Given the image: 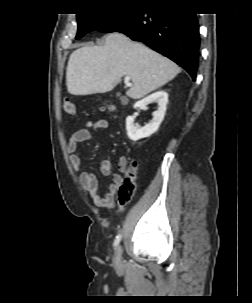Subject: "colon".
I'll use <instances>...</instances> for the list:
<instances>
[{
	"label": "colon",
	"mask_w": 252,
	"mask_h": 303,
	"mask_svg": "<svg viewBox=\"0 0 252 303\" xmlns=\"http://www.w3.org/2000/svg\"><path fill=\"white\" fill-rule=\"evenodd\" d=\"M106 108L111 109V105H105ZM63 109L68 114H74L76 110L75 102L71 98H64ZM137 168L138 162L132 161L129 170L126 172L121 181L119 188V202L124 204L132 200L137 185Z\"/></svg>",
	"instance_id": "1"
}]
</instances>
